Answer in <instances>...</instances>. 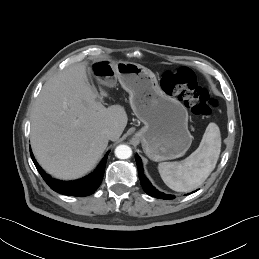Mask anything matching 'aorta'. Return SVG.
I'll return each mask as SVG.
<instances>
[{
	"mask_svg": "<svg viewBox=\"0 0 259 259\" xmlns=\"http://www.w3.org/2000/svg\"><path fill=\"white\" fill-rule=\"evenodd\" d=\"M115 156L119 159H128L132 155V150L127 145H119L115 148Z\"/></svg>",
	"mask_w": 259,
	"mask_h": 259,
	"instance_id": "1",
	"label": "aorta"
}]
</instances>
